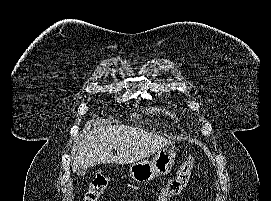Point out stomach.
Listing matches in <instances>:
<instances>
[{"instance_id": "1", "label": "stomach", "mask_w": 271, "mask_h": 201, "mask_svg": "<svg viewBox=\"0 0 271 201\" xmlns=\"http://www.w3.org/2000/svg\"><path fill=\"white\" fill-rule=\"evenodd\" d=\"M176 152L172 148H162L151 161L141 160L131 164L130 176L138 183H148L159 176L166 175L172 168Z\"/></svg>"}]
</instances>
